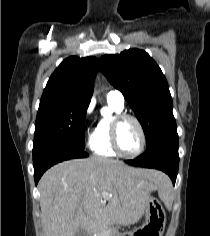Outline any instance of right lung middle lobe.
Instances as JSON below:
<instances>
[{
    "instance_id": "dd1d6c3e",
    "label": "right lung middle lobe",
    "mask_w": 210,
    "mask_h": 236,
    "mask_svg": "<svg viewBox=\"0 0 210 236\" xmlns=\"http://www.w3.org/2000/svg\"><path fill=\"white\" fill-rule=\"evenodd\" d=\"M87 108L67 101L40 104L35 124L34 145L60 142L84 149V121Z\"/></svg>"
}]
</instances>
